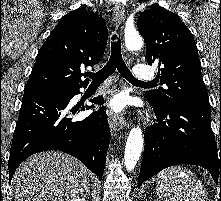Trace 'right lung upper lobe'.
I'll return each mask as SVG.
<instances>
[{
  "label": "right lung upper lobe",
  "mask_w": 221,
  "mask_h": 201,
  "mask_svg": "<svg viewBox=\"0 0 221 201\" xmlns=\"http://www.w3.org/2000/svg\"><path fill=\"white\" fill-rule=\"evenodd\" d=\"M107 39L98 14L78 8L63 16L39 50L24 90L86 86L81 70L101 60Z\"/></svg>",
  "instance_id": "1"
}]
</instances>
